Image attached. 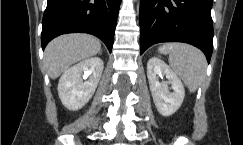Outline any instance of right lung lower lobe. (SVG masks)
<instances>
[{
    "label": "right lung lower lobe",
    "mask_w": 243,
    "mask_h": 145,
    "mask_svg": "<svg viewBox=\"0 0 243 145\" xmlns=\"http://www.w3.org/2000/svg\"><path fill=\"white\" fill-rule=\"evenodd\" d=\"M121 0H48L42 20L44 49L53 38L72 32L90 33L112 51Z\"/></svg>",
    "instance_id": "1"
}]
</instances>
